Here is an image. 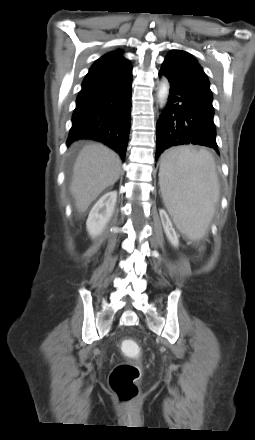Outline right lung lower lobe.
Returning <instances> with one entry per match:
<instances>
[{"mask_svg": "<svg viewBox=\"0 0 255 440\" xmlns=\"http://www.w3.org/2000/svg\"><path fill=\"white\" fill-rule=\"evenodd\" d=\"M132 67L82 84L67 145L80 139L103 142L124 161L130 131Z\"/></svg>", "mask_w": 255, "mask_h": 440, "instance_id": "1", "label": "right lung lower lobe"}]
</instances>
